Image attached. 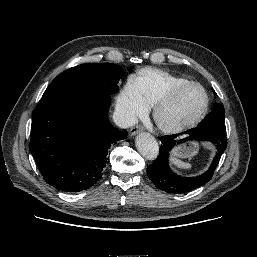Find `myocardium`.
<instances>
[{
  "mask_svg": "<svg viewBox=\"0 0 257 257\" xmlns=\"http://www.w3.org/2000/svg\"><path fill=\"white\" fill-rule=\"evenodd\" d=\"M190 87H198L204 94V103L199 112L191 119L180 123H169L162 117L163 110L171 104L175 97L183 90ZM209 108V95L206 89L197 82H186L170 89L154 106L153 117L158 127L168 134H177L193 128L199 124L206 115Z\"/></svg>",
  "mask_w": 257,
  "mask_h": 257,
  "instance_id": "1",
  "label": "myocardium"
}]
</instances>
